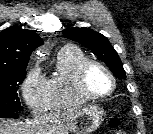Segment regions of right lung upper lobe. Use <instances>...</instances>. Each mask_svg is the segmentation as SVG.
I'll return each mask as SVG.
<instances>
[{
    "label": "right lung upper lobe",
    "mask_w": 153,
    "mask_h": 134,
    "mask_svg": "<svg viewBox=\"0 0 153 134\" xmlns=\"http://www.w3.org/2000/svg\"><path fill=\"white\" fill-rule=\"evenodd\" d=\"M43 40L32 30L10 27L0 32V71L25 70L32 51Z\"/></svg>",
    "instance_id": "obj_1"
}]
</instances>
